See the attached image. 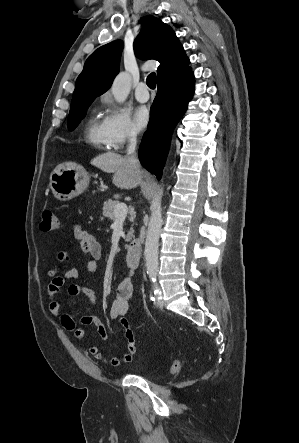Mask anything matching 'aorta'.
<instances>
[{"instance_id":"1","label":"aorta","mask_w":299,"mask_h":443,"mask_svg":"<svg viewBox=\"0 0 299 443\" xmlns=\"http://www.w3.org/2000/svg\"><path fill=\"white\" fill-rule=\"evenodd\" d=\"M131 89V78L125 73H119L113 81L111 92L117 102H124ZM163 188H159V191L154 195L151 201V216L148 224V230L145 240V261L147 273L156 274L158 271V243L162 219V200Z\"/></svg>"}]
</instances>
